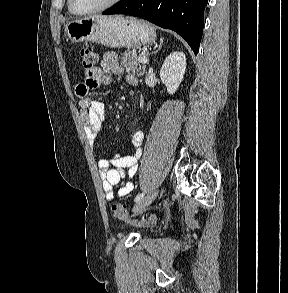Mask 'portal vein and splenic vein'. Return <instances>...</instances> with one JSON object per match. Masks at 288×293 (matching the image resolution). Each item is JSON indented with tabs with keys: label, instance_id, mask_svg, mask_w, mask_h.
Masks as SVG:
<instances>
[{
	"label": "portal vein and splenic vein",
	"instance_id": "18ae733b",
	"mask_svg": "<svg viewBox=\"0 0 288 293\" xmlns=\"http://www.w3.org/2000/svg\"><path fill=\"white\" fill-rule=\"evenodd\" d=\"M138 60L143 64L148 62V59L144 54L139 55Z\"/></svg>",
	"mask_w": 288,
	"mask_h": 293
}]
</instances>
